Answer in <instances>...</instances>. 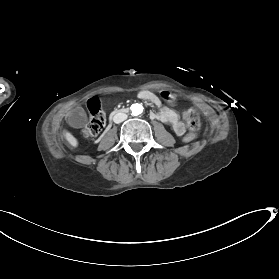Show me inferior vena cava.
Returning a JSON list of instances; mask_svg holds the SVG:
<instances>
[{
	"instance_id": "obj_1",
	"label": "inferior vena cava",
	"mask_w": 279,
	"mask_h": 279,
	"mask_svg": "<svg viewBox=\"0 0 279 279\" xmlns=\"http://www.w3.org/2000/svg\"><path fill=\"white\" fill-rule=\"evenodd\" d=\"M125 119H127V115L124 113H117L114 117H113V121L115 123H120L122 121H124Z\"/></svg>"
}]
</instances>
